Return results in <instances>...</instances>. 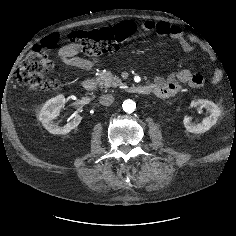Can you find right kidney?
<instances>
[{"mask_svg":"<svg viewBox=\"0 0 236 236\" xmlns=\"http://www.w3.org/2000/svg\"><path fill=\"white\" fill-rule=\"evenodd\" d=\"M64 104L65 97L58 95L48 100L40 111L39 120L45 129L52 134H67L72 129L76 128L82 120L80 115H76L72 121L64 126H59L57 123H54L53 120L59 116Z\"/></svg>","mask_w":236,"mask_h":236,"instance_id":"obj_1","label":"right kidney"}]
</instances>
